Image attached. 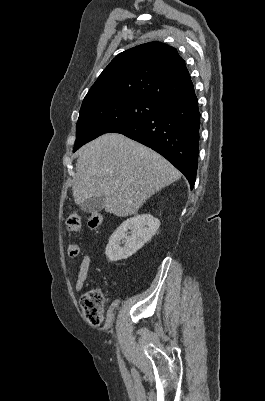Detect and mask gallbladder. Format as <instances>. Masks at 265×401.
<instances>
[{
	"instance_id": "bac80fb5",
	"label": "gallbladder",
	"mask_w": 265,
	"mask_h": 401,
	"mask_svg": "<svg viewBox=\"0 0 265 401\" xmlns=\"http://www.w3.org/2000/svg\"><path fill=\"white\" fill-rule=\"evenodd\" d=\"M103 198L104 196H93V198H87V201L81 203L79 207L81 211H84V213H99V211L104 209Z\"/></svg>"
}]
</instances>
